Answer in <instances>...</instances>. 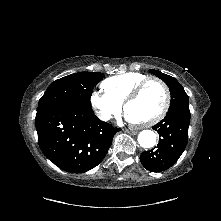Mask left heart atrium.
<instances>
[{"label":"left heart atrium","mask_w":221,"mask_h":221,"mask_svg":"<svg viewBox=\"0 0 221 221\" xmlns=\"http://www.w3.org/2000/svg\"><path fill=\"white\" fill-rule=\"evenodd\" d=\"M125 117L129 122H132V120L129 118V116L127 114L125 115Z\"/></svg>","instance_id":"obj_1"}]
</instances>
